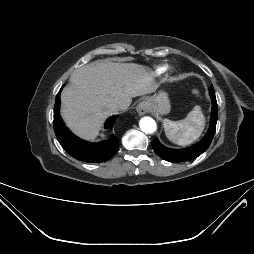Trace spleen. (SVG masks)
<instances>
[{"mask_svg": "<svg viewBox=\"0 0 254 254\" xmlns=\"http://www.w3.org/2000/svg\"><path fill=\"white\" fill-rule=\"evenodd\" d=\"M204 126L205 118L199 106H195L183 120H163L167 138L180 146H187L197 140Z\"/></svg>", "mask_w": 254, "mask_h": 254, "instance_id": "3e777b00", "label": "spleen"}]
</instances>
